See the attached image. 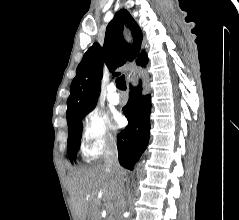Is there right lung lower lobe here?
Listing matches in <instances>:
<instances>
[{
	"label": "right lung lower lobe",
	"mask_w": 239,
	"mask_h": 220,
	"mask_svg": "<svg viewBox=\"0 0 239 220\" xmlns=\"http://www.w3.org/2000/svg\"><path fill=\"white\" fill-rule=\"evenodd\" d=\"M142 84L133 90L130 85L129 101L123 108L128 126L117 135L120 164L132 170L147 147L150 133L151 97L142 95Z\"/></svg>",
	"instance_id": "98d812e1"
}]
</instances>
